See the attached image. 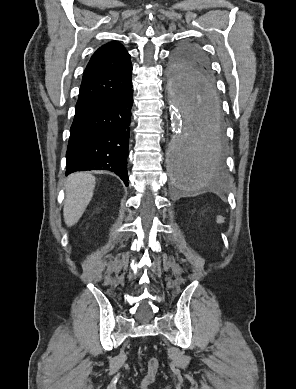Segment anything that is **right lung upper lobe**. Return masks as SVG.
Wrapping results in <instances>:
<instances>
[{
    "label": "right lung upper lobe",
    "mask_w": 296,
    "mask_h": 389,
    "mask_svg": "<svg viewBox=\"0 0 296 389\" xmlns=\"http://www.w3.org/2000/svg\"><path fill=\"white\" fill-rule=\"evenodd\" d=\"M132 64L123 45L109 42L92 55L82 78L75 109L120 94L131 82Z\"/></svg>",
    "instance_id": "right-lung-upper-lobe-1"
}]
</instances>
